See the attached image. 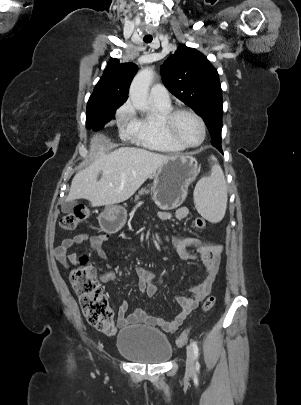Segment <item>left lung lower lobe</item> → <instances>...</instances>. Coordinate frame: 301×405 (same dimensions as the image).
<instances>
[{"mask_svg": "<svg viewBox=\"0 0 301 405\" xmlns=\"http://www.w3.org/2000/svg\"><path fill=\"white\" fill-rule=\"evenodd\" d=\"M211 144L222 152L221 144L215 138H211Z\"/></svg>", "mask_w": 301, "mask_h": 405, "instance_id": "1", "label": "left lung lower lobe"}]
</instances>
